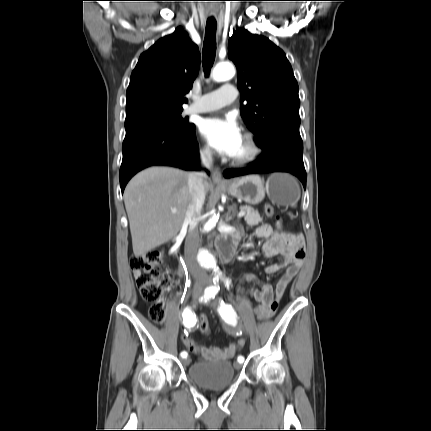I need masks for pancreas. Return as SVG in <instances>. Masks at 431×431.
<instances>
[{
	"label": "pancreas",
	"mask_w": 431,
	"mask_h": 431,
	"mask_svg": "<svg viewBox=\"0 0 431 431\" xmlns=\"http://www.w3.org/2000/svg\"><path fill=\"white\" fill-rule=\"evenodd\" d=\"M240 210L245 211L246 214L244 216V219L248 226H256L263 220L260 217V214L258 213V211L254 210L250 206H241Z\"/></svg>",
	"instance_id": "pancreas-1"
}]
</instances>
